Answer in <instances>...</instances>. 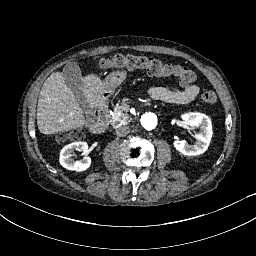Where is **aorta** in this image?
I'll list each match as a JSON object with an SVG mask.
<instances>
[{"label": "aorta", "mask_w": 256, "mask_h": 256, "mask_svg": "<svg viewBox=\"0 0 256 256\" xmlns=\"http://www.w3.org/2000/svg\"><path fill=\"white\" fill-rule=\"evenodd\" d=\"M140 121L143 127L149 129L155 126L157 120L154 114L148 112L142 115Z\"/></svg>", "instance_id": "762f6f07"}]
</instances>
